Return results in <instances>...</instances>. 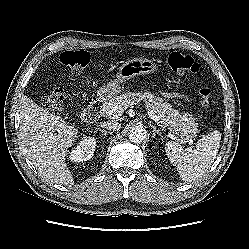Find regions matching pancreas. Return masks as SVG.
I'll list each match as a JSON object with an SVG mask.
<instances>
[{
	"mask_svg": "<svg viewBox=\"0 0 249 249\" xmlns=\"http://www.w3.org/2000/svg\"><path fill=\"white\" fill-rule=\"evenodd\" d=\"M145 102L147 108L151 109L161 120L164 126H169L171 131L180 136L179 141L187 143L198 133V124L195 118L188 113H180L172 108V105L164 102L162 98L154 96L151 92H128L112 97L102 106V112H107L114 106H120L123 110L133 104Z\"/></svg>",
	"mask_w": 249,
	"mask_h": 249,
	"instance_id": "pancreas-1",
	"label": "pancreas"
}]
</instances>
